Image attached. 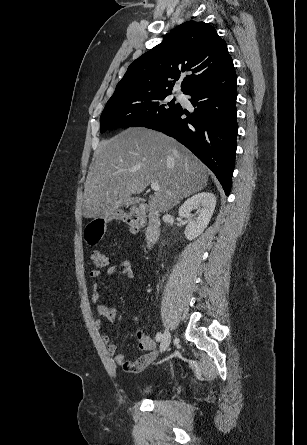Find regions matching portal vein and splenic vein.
<instances>
[{
    "label": "portal vein and splenic vein",
    "mask_w": 307,
    "mask_h": 445,
    "mask_svg": "<svg viewBox=\"0 0 307 445\" xmlns=\"http://www.w3.org/2000/svg\"><path fill=\"white\" fill-rule=\"evenodd\" d=\"M151 188H153V190H159L158 182H151Z\"/></svg>",
    "instance_id": "1"
}]
</instances>
